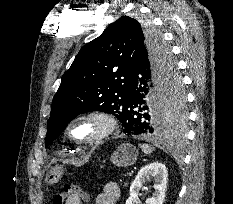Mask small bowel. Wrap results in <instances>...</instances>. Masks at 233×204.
<instances>
[{"label": "small bowel", "instance_id": "c3829d8e", "mask_svg": "<svg viewBox=\"0 0 233 204\" xmlns=\"http://www.w3.org/2000/svg\"><path fill=\"white\" fill-rule=\"evenodd\" d=\"M120 196V189L116 182L107 183L102 193L95 200V204H115ZM88 197L85 199L87 200Z\"/></svg>", "mask_w": 233, "mask_h": 204}]
</instances>
